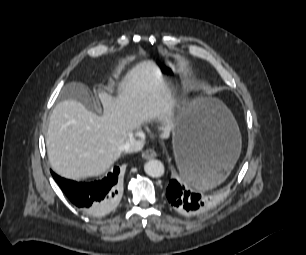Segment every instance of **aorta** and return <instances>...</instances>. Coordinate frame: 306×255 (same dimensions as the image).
Listing matches in <instances>:
<instances>
[{
	"instance_id": "1",
	"label": "aorta",
	"mask_w": 306,
	"mask_h": 255,
	"mask_svg": "<svg viewBox=\"0 0 306 255\" xmlns=\"http://www.w3.org/2000/svg\"><path fill=\"white\" fill-rule=\"evenodd\" d=\"M144 171L147 175L158 178L164 175L165 168L161 161L152 159L145 163Z\"/></svg>"
}]
</instances>
